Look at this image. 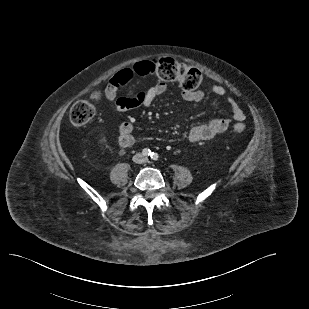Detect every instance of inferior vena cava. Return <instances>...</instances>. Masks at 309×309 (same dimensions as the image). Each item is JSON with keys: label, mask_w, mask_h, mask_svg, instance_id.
I'll use <instances>...</instances> for the list:
<instances>
[{"label": "inferior vena cava", "mask_w": 309, "mask_h": 309, "mask_svg": "<svg viewBox=\"0 0 309 309\" xmlns=\"http://www.w3.org/2000/svg\"><path fill=\"white\" fill-rule=\"evenodd\" d=\"M137 156H140V157H137ZM135 159H136L137 162H144L145 161V158L142 157L140 154L136 155Z\"/></svg>", "instance_id": "inferior-vena-cava-1"}]
</instances>
